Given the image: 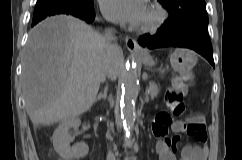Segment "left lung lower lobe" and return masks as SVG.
Listing matches in <instances>:
<instances>
[{
    "label": "left lung lower lobe",
    "instance_id": "0a47b994",
    "mask_svg": "<svg viewBox=\"0 0 242 160\" xmlns=\"http://www.w3.org/2000/svg\"><path fill=\"white\" fill-rule=\"evenodd\" d=\"M138 43L149 49L159 47L190 48L205 57L215 67L207 25H190L175 32H170L162 25L157 34L140 36Z\"/></svg>",
    "mask_w": 242,
    "mask_h": 160
}]
</instances>
